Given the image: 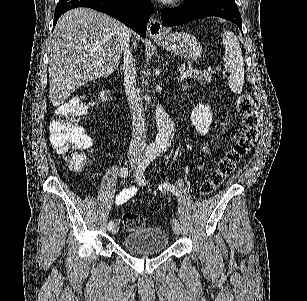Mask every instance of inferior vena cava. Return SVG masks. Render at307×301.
Wrapping results in <instances>:
<instances>
[{
  "mask_svg": "<svg viewBox=\"0 0 307 301\" xmlns=\"http://www.w3.org/2000/svg\"><path fill=\"white\" fill-rule=\"evenodd\" d=\"M124 50V88L131 112L132 118V134L129 144V157H137L143 155L146 146L147 126L146 118L143 110V102L137 88L136 62L132 56L129 44H126Z\"/></svg>",
  "mask_w": 307,
  "mask_h": 301,
  "instance_id": "1",
  "label": "inferior vena cava"
}]
</instances>
